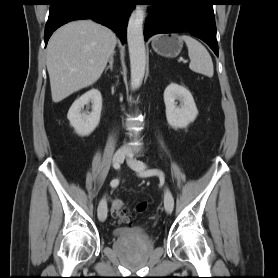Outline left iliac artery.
Instances as JSON below:
<instances>
[{"label": "left iliac artery", "instance_id": "obj_1", "mask_svg": "<svg viewBox=\"0 0 278 278\" xmlns=\"http://www.w3.org/2000/svg\"><path fill=\"white\" fill-rule=\"evenodd\" d=\"M150 175H159L160 177L164 176V173L157 169L148 170L144 173H140V176H150Z\"/></svg>", "mask_w": 278, "mask_h": 278}]
</instances>
